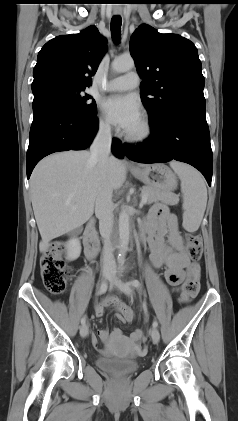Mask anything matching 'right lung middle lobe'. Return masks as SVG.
Listing matches in <instances>:
<instances>
[{
    "label": "right lung middle lobe",
    "mask_w": 238,
    "mask_h": 421,
    "mask_svg": "<svg viewBox=\"0 0 238 421\" xmlns=\"http://www.w3.org/2000/svg\"><path fill=\"white\" fill-rule=\"evenodd\" d=\"M85 87H78L60 82H46L32 86L34 101L43 97H52L63 101L85 116L96 115V104L92 97L84 94Z\"/></svg>",
    "instance_id": "1"
}]
</instances>
